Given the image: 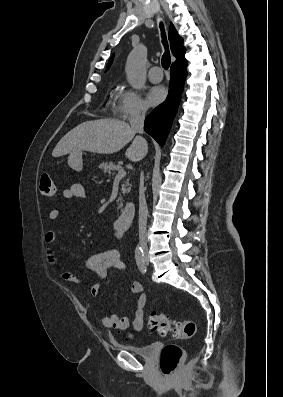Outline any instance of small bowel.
I'll list each match as a JSON object with an SVG mask.
<instances>
[{
	"label": "small bowel",
	"mask_w": 283,
	"mask_h": 397,
	"mask_svg": "<svg viewBox=\"0 0 283 397\" xmlns=\"http://www.w3.org/2000/svg\"><path fill=\"white\" fill-rule=\"evenodd\" d=\"M85 194V187L81 183H74L62 191V196L68 200L83 198ZM60 215L61 211L54 208L49 212L48 217L50 220L55 221L59 219ZM114 236L118 238L120 235L115 233ZM56 237L57 235L54 230H48L44 234V242L49 245L53 244L56 241ZM45 257L50 266L57 267V257L52 248H46ZM86 266L89 270L95 273L98 279V282H94L89 285L88 292L91 296H96L98 294L100 288L99 281L104 280L109 271L126 270V264L121 259L119 252L114 249L90 256L86 261ZM59 277L69 283L84 285V282L76 274L70 271L59 270ZM130 292L137 295L133 319L127 315L118 316L116 314H108L103 316L101 320L104 327L108 329L124 330L132 324L135 331L138 332L142 329L147 297L143 293V286L140 282H133L130 285Z\"/></svg>",
	"instance_id": "1"
}]
</instances>
